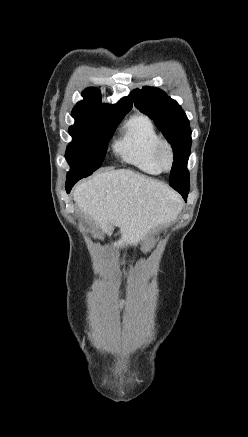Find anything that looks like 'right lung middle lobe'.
Segmentation results:
<instances>
[{
    "label": "right lung middle lobe",
    "instance_id": "obj_1",
    "mask_svg": "<svg viewBox=\"0 0 248 437\" xmlns=\"http://www.w3.org/2000/svg\"><path fill=\"white\" fill-rule=\"evenodd\" d=\"M122 119L123 117L98 122L75 119L74 125L69 127L72 142L65 154L71 168L67 178L87 177L100 168L108 141Z\"/></svg>",
    "mask_w": 248,
    "mask_h": 437
}]
</instances>
